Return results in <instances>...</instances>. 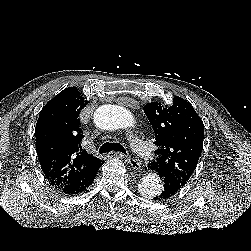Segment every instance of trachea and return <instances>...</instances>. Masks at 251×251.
Segmentation results:
<instances>
[{"instance_id":"3493384b","label":"trachea","mask_w":251,"mask_h":251,"mask_svg":"<svg viewBox=\"0 0 251 251\" xmlns=\"http://www.w3.org/2000/svg\"><path fill=\"white\" fill-rule=\"evenodd\" d=\"M112 150L113 151H119V152H122L123 154H126V150L124 149V147L121 144H119V143H109V142L104 143L100 147L99 153L103 154V153L110 152Z\"/></svg>"}]
</instances>
